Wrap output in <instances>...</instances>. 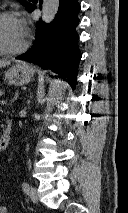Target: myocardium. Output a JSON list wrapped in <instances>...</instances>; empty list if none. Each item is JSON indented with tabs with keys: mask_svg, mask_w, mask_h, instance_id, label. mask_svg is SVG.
I'll list each match as a JSON object with an SVG mask.
<instances>
[{
	"mask_svg": "<svg viewBox=\"0 0 128 213\" xmlns=\"http://www.w3.org/2000/svg\"><path fill=\"white\" fill-rule=\"evenodd\" d=\"M15 17H16V14L14 12H12V11L0 12V23H1V21H3L6 18H15ZM28 45H29V39H28L27 36H25V40L22 43V45L19 46L18 48H15V49H8V48L3 47L0 44V54H2V55L19 54V53L23 52L24 50H26Z\"/></svg>",
	"mask_w": 128,
	"mask_h": 213,
	"instance_id": "1",
	"label": "myocardium"
}]
</instances>
